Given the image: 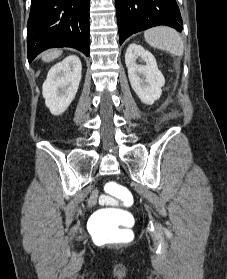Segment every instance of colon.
I'll list each match as a JSON object with an SVG mask.
<instances>
[{"instance_id":"5ec220e1","label":"colon","mask_w":227,"mask_h":279,"mask_svg":"<svg viewBox=\"0 0 227 279\" xmlns=\"http://www.w3.org/2000/svg\"><path fill=\"white\" fill-rule=\"evenodd\" d=\"M104 189L108 195L118 197L121 202H126L130 196L129 190L117 182L106 183ZM129 218V213L123 208L100 210L91 223V231L99 239L129 236L130 229L125 226Z\"/></svg>"}]
</instances>
